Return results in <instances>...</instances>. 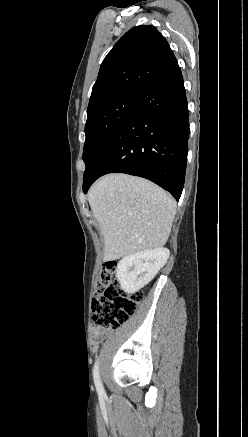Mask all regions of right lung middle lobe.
<instances>
[{
	"mask_svg": "<svg viewBox=\"0 0 248 437\" xmlns=\"http://www.w3.org/2000/svg\"><path fill=\"white\" fill-rule=\"evenodd\" d=\"M138 94L137 92L122 94L87 114L83 150V160L86 165L84 177L89 173L96 156L129 114Z\"/></svg>",
	"mask_w": 248,
	"mask_h": 437,
	"instance_id": "dd1d6c3e",
	"label": "right lung middle lobe"
}]
</instances>
